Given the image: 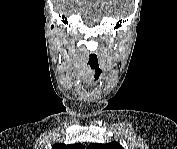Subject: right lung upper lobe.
I'll use <instances>...</instances> for the list:
<instances>
[{
    "mask_svg": "<svg viewBox=\"0 0 177 149\" xmlns=\"http://www.w3.org/2000/svg\"><path fill=\"white\" fill-rule=\"evenodd\" d=\"M53 149H83L84 146L80 143L78 144H73V145H65V144H54Z\"/></svg>",
    "mask_w": 177,
    "mask_h": 149,
    "instance_id": "cb5924a9",
    "label": "right lung upper lobe"
}]
</instances>
